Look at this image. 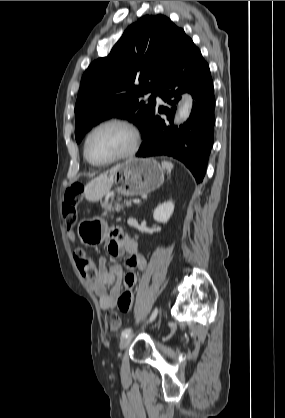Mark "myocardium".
<instances>
[{
	"label": "myocardium",
	"mask_w": 285,
	"mask_h": 418,
	"mask_svg": "<svg viewBox=\"0 0 285 418\" xmlns=\"http://www.w3.org/2000/svg\"><path fill=\"white\" fill-rule=\"evenodd\" d=\"M108 125H118V126H121L125 129H127L132 136L131 146L126 152H124V153H122V154H120L116 157H113L111 159H108V160L102 161V162H95V161L90 159V157L88 156V153H87V145H88L89 139L95 131H97L98 129H100L104 126H108ZM138 146H139V132H138L137 128L127 120H124V119H121V118H110V119H106V120H103V121L97 123L96 125H94L89 130V132L87 133V135L84 139L83 154H84V158L91 165H93V166H106V165H109V164H112V163H115V162L125 160L127 158L132 157L137 152Z\"/></svg>",
	"instance_id": "myocardium-1"
}]
</instances>
